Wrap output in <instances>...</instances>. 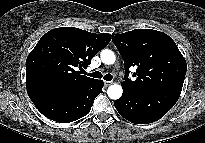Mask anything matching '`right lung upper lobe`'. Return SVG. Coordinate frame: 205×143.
Returning a JSON list of instances; mask_svg holds the SVG:
<instances>
[{"instance_id":"right-lung-upper-lobe-1","label":"right lung upper lobe","mask_w":205,"mask_h":143,"mask_svg":"<svg viewBox=\"0 0 205 143\" xmlns=\"http://www.w3.org/2000/svg\"><path fill=\"white\" fill-rule=\"evenodd\" d=\"M110 40L111 34H95L74 27L50 30L27 57V90H71L94 82L95 79L81 75V71Z\"/></svg>"}]
</instances>
